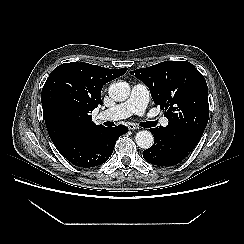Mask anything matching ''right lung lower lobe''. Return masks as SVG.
Here are the masks:
<instances>
[{
    "label": "right lung lower lobe",
    "mask_w": 244,
    "mask_h": 244,
    "mask_svg": "<svg viewBox=\"0 0 244 244\" xmlns=\"http://www.w3.org/2000/svg\"><path fill=\"white\" fill-rule=\"evenodd\" d=\"M128 131L126 126L102 127L89 134H78L57 146L69 162L82 168L103 164L111 156L117 139Z\"/></svg>",
    "instance_id": "98d812e1"
}]
</instances>
